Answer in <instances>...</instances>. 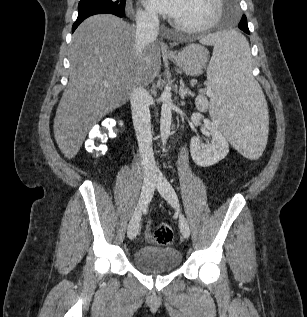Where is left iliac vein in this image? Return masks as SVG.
Returning <instances> with one entry per match:
<instances>
[{
	"label": "left iliac vein",
	"mask_w": 307,
	"mask_h": 317,
	"mask_svg": "<svg viewBox=\"0 0 307 317\" xmlns=\"http://www.w3.org/2000/svg\"><path fill=\"white\" fill-rule=\"evenodd\" d=\"M156 187L170 205L177 209L179 208L176 192L169 181L162 174H158L156 178ZM179 226L182 236L184 238H188L190 235V228L187 219L182 214L179 218Z\"/></svg>",
	"instance_id": "left-iliac-vein-1"
}]
</instances>
